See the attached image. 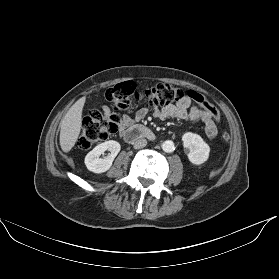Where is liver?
<instances>
[{
    "instance_id": "obj_1",
    "label": "liver",
    "mask_w": 279,
    "mask_h": 279,
    "mask_svg": "<svg viewBox=\"0 0 279 279\" xmlns=\"http://www.w3.org/2000/svg\"><path fill=\"white\" fill-rule=\"evenodd\" d=\"M86 97L77 100L61 121L60 146L63 152H69L75 145L82 128V110Z\"/></svg>"
}]
</instances>
